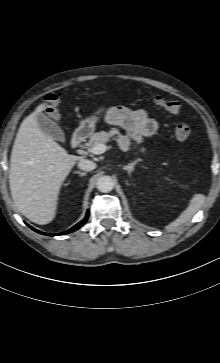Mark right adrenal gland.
Masks as SVG:
<instances>
[{"label":"right adrenal gland","instance_id":"obj_1","mask_svg":"<svg viewBox=\"0 0 220 363\" xmlns=\"http://www.w3.org/2000/svg\"><path fill=\"white\" fill-rule=\"evenodd\" d=\"M75 174H79L81 177L85 176L86 173L85 172H81V171H75Z\"/></svg>","mask_w":220,"mask_h":363}]
</instances>
